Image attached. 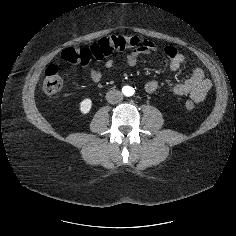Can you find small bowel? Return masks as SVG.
<instances>
[{
  "instance_id": "small-bowel-1",
  "label": "small bowel",
  "mask_w": 236,
  "mask_h": 236,
  "mask_svg": "<svg viewBox=\"0 0 236 236\" xmlns=\"http://www.w3.org/2000/svg\"><path fill=\"white\" fill-rule=\"evenodd\" d=\"M156 50V46L151 41H144L140 49L129 51L125 54V62L129 66H135L140 55L150 54ZM164 53L169 58L168 68L171 73L177 72L185 63L184 55L174 46H166ZM114 64V60L108 58L104 62V67L109 70L113 68ZM87 78L94 83H98L103 78V72L99 69L91 68ZM144 87L147 93L152 94L157 90L158 83L155 80H149ZM211 88V81L205 76L204 70L200 67L194 68L191 76L184 82L172 85V91L176 95H189L194 103L204 101Z\"/></svg>"
}]
</instances>
